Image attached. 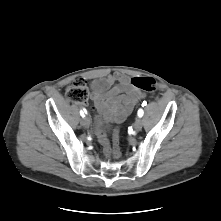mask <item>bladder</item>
<instances>
[{
	"mask_svg": "<svg viewBox=\"0 0 221 221\" xmlns=\"http://www.w3.org/2000/svg\"><path fill=\"white\" fill-rule=\"evenodd\" d=\"M97 120H98L100 128L104 132L108 131L112 127L113 120L110 117V115L108 113H106L105 111L98 112Z\"/></svg>",
	"mask_w": 221,
	"mask_h": 221,
	"instance_id": "31cf9c89",
	"label": "bladder"
}]
</instances>
